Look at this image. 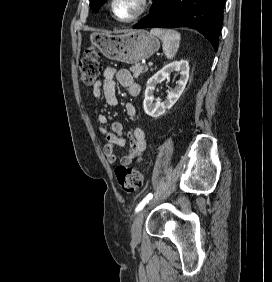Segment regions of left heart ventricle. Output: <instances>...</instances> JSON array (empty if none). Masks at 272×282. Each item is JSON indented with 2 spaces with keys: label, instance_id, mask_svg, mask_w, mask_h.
<instances>
[{
  "label": "left heart ventricle",
  "instance_id": "b2bd125f",
  "mask_svg": "<svg viewBox=\"0 0 272 282\" xmlns=\"http://www.w3.org/2000/svg\"><path fill=\"white\" fill-rule=\"evenodd\" d=\"M140 8V0H118L115 6L117 15L123 19L133 16Z\"/></svg>",
  "mask_w": 272,
  "mask_h": 282
}]
</instances>
